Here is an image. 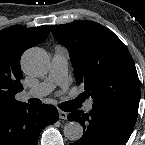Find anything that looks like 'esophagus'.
Instances as JSON below:
<instances>
[{"instance_id":"34e87169","label":"esophagus","mask_w":145,"mask_h":145,"mask_svg":"<svg viewBox=\"0 0 145 145\" xmlns=\"http://www.w3.org/2000/svg\"><path fill=\"white\" fill-rule=\"evenodd\" d=\"M58 112H59V118L60 119H64V120L67 119V116H68L67 112L62 111V110H59Z\"/></svg>"}]
</instances>
